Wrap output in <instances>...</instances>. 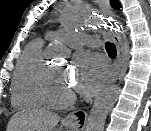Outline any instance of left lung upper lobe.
<instances>
[{
    "mask_svg": "<svg viewBox=\"0 0 151 131\" xmlns=\"http://www.w3.org/2000/svg\"><path fill=\"white\" fill-rule=\"evenodd\" d=\"M111 5L115 9H119L120 8V4H119L118 0H111Z\"/></svg>",
    "mask_w": 151,
    "mask_h": 131,
    "instance_id": "obj_1",
    "label": "left lung upper lobe"
}]
</instances>
